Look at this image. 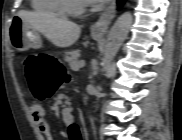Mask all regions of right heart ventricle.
<instances>
[{
  "label": "right heart ventricle",
  "mask_w": 182,
  "mask_h": 140,
  "mask_svg": "<svg viewBox=\"0 0 182 140\" xmlns=\"http://www.w3.org/2000/svg\"><path fill=\"white\" fill-rule=\"evenodd\" d=\"M31 6L37 12L58 16L65 15L63 0H32Z\"/></svg>",
  "instance_id": "1"
}]
</instances>
